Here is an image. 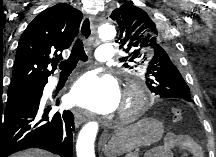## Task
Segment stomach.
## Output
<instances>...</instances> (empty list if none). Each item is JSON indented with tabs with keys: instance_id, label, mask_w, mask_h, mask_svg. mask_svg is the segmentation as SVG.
<instances>
[{
	"instance_id": "1",
	"label": "stomach",
	"mask_w": 216,
	"mask_h": 157,
	"mask_svg": "<svg viewBox=\"0 0 216 157\" xmlns=\"http://www.w3.org/2000/svg\"><path fill=\"white\" fill-rule=\"evenodd\" d=\"M164 133L163 124L152 118L143 119L117 130L104 145L107 155H120L141 145L158 142Z\"/></svg>"
}]
</instances>
